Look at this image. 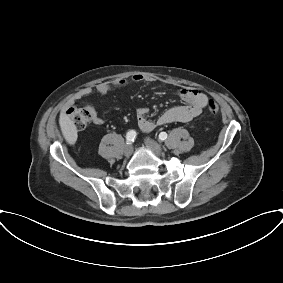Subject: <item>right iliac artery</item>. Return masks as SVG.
Listing matches in <instances>:
<instances>
[{
  "instance_id": "1",
  "label": "right iliac artery",
  "mask_w": 283,
  "mask_h": 283,
  "mask_svg": "<svg viewBox=\"0 0 283 283\" xmlns=\"http://www.w3.org/2000/svg\"><path fill=\"white\" fill-rule=\"evenodd\" d=\"M136 135H137V133H136L135 130H130L126 135L127 144H131L132 142H134Z\"/></svg>"
}]
</instances>
